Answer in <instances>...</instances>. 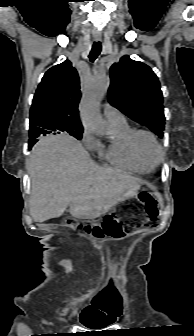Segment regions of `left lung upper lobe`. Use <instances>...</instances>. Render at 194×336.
<instances>
[{
    "instance_id": "obj_1",
    "label": "left lung upper lobe",
    "mask_w": 194,
    "mask_h": 336,
    "mask_svg": "<svg viewBox=\"0 0 194 336\" xmlns=\"http://www.w3.org/2000/svg\"><path fill=\"white\" fill-rule=\"evenodd\" d=\"M110 103L136 122L163 136V95L156 74L146 64L123 56L110 68Z\"/></svg>"
}]
</instances>
